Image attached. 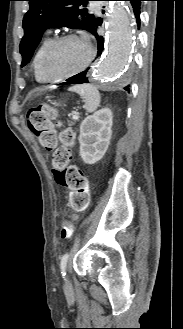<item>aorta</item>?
I'll use <instances>...</instances> for the list:
<instances>
[{
	"label": "aorta",
	"mask_w": 183,
	"mask_h": 329,
	"mask_svg": "<svg viewBox=\"0 0 183 329\" xmlns=\"http://www.w3.org/2000/svg\"><path fill=\"white\" fill-rule=\"evenodd\" d=\"M133 23L126 3L113 4L107 22L106 53L95 71L100 82L113 85L123 80L133 46Z\"/></svg>",
	"instance_id": "762f6f07"
}]
</instances>
